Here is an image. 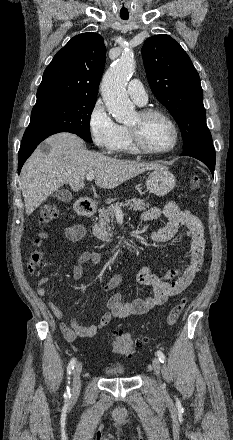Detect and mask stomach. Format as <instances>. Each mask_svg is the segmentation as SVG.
<instances>
[{
	"instance_id": "obj_1",
	"label": "stomach",
	"mask_w": 233,
	"mask_h": 440,
	"mask_svg": "<svg viewBox=\"0 0 233 440\" xmlns=\"http://www.w3.org/2000/svg\"><path fill=\"white\" fill-rule=\"evenodd\" d=\"M176 185L174 175L167 168H157L149 173L146 180L147 190L156 196H165Z\"/></svg>"
}]
</instances>
